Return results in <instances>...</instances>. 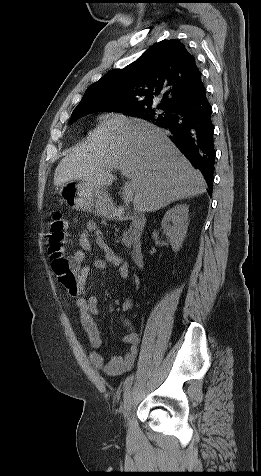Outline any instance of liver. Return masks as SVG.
Instances as JSON below:
<instances>
[{"label": "liver", "mask_w": 261, "mask_h": 476, "mask_svg": "<svg viewBox=\"0 0 261 476\" xmlns=\"http://www.w3.org/2000/svg\"><path fill=\"white\" fill-rule=\"evenodd\" d=\"M129 179L138 212H154L170 203L198 196L207 185L199 170L167 137V133L138 118L114 116L90 132L58 164L54 185L82 180L110 186L113 170Z\"/></svg>", "instance_id": "6515ba94"}]
</instances>
